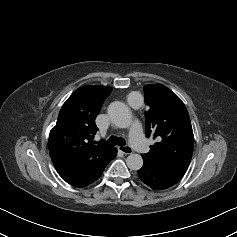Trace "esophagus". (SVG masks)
Listing matches in <instances>:
<instances>
[{
  "mask_svg": "<svg viewBox=\"0 0 237 237\" xmlns=\"http://www.w3.org/2000/svg\"><path fill=\"white\" fill-rule=\"evenodd\" d=\"M119 150L126 155L133 153V149L130 146L119 147Z\"/></svg>",
  "mask_w": 237,
  "mask_h": 237,
  "instance_id": "34e87169",
  "label": "esophagus"
}]
</instances>
